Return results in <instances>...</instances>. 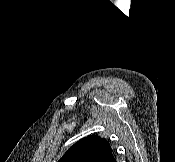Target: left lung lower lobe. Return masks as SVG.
<instances>
[{
    "label": "left lung lower lobe",
    "mask_w": 175,
    "mask_h": 162,
    "mask_svg": "<svg viewBox=\"0 0 175 162\" xmlns=\"http://www.w3.org/2000/svg\"><path fill=\"white\" fill-rule=\"evenodd\" d=\"M106 162H116V160L114 159L113 155L111 154V156L106 160Z\"/></svg>",
    "instance_id": "1"
}]
</instances>
